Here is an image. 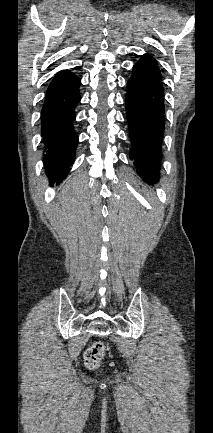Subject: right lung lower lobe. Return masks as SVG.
Instances as JSON below:
<instances>
[{"mask_svg": "<svg viewBox=\"0 0 213 433\" xmlns=\"http://www.w3.org/2000/svg\"><path fill=\"white\" fill-rule=\"evenodd\" d=\"M80 79L63 70L51 81L41 110L44 168L50 181L61 182L75 158L78 136L73 129L75 107L80 101Z\"/></svg>", "mask_w": 213, "mask_h": 433, "instance_id": "right-lung-lower-lobe-1", "label": "right lung lower lobe"}]
</instances>
